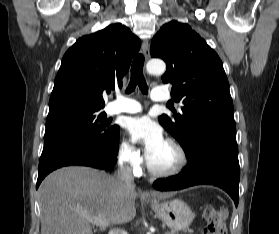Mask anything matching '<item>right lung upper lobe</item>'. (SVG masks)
I'll list each match as a JSON object with an SVG mask.
<instances>
[{"label": "right lung upper lobe", "instance_id": "cb5924a9", "mask_svg": "<svg viewBox=\"0 0 279 234\" xmlns=\"http://www.w3.org/2000/svg\"><path fill=\"white\" fill-rule=\"evenodd\" d=\"M141 42L117 23L79 38L62 58L49 101V110L82 106L102 109V93L122 86Z\"/></svg>", "mask_w": 279, "mask_h": 234}]
</instances>
